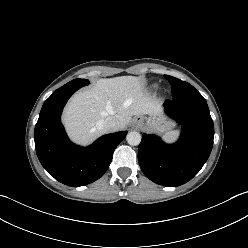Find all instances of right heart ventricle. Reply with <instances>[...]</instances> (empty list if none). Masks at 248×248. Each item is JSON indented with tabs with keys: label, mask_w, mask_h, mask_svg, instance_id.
<instances>
[{
	"label": "right heart ventricle",
	"mask_w": 248,
	"mask_h": 248,
	"mask_svg": "<svg viewBox=\"0 0 248 248\" xmlns=\"http://www.w3.org/2000/svg\"><path fill=\"white\" fill-rule=\"evenodd\" d=\"M156 88H157V85H155V84L151 86L152 90H155Z\"/></svg>",
	"instance_id": "obj_1"
}]
</instances>
